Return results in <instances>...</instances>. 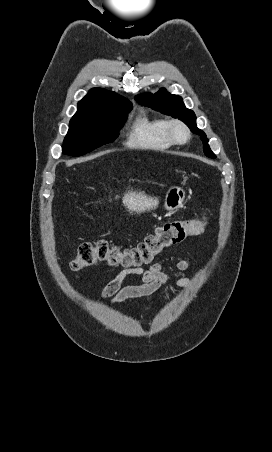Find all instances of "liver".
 I'll use <instances>...</instances> for the list:
<instances>
[{"mask_svg": "<svg viewBox=\"0 0 272 452\" xmlns=\"http://www.w3.org/2000/svg\"><path fill=\"white\" fill-rule=\"evenodd\" d=\"M124 206L130 212H145L146 210H153L158 207V198L145 195L144 192L128 191L122 198Z\"/></svg>", "mask_w": 272, "mask_h": 452, "instance_id": "obj_1", "label": "liver"}]
</instances>
